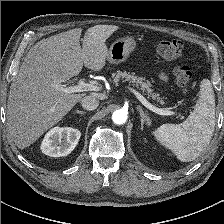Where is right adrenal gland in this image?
Listing matches in <instances>:
<instances>
[{"instance_id": "2a0ac1e0", "label": "right adrenal gland", "mask_w": 224, "mask_h": 224, "mask_svg": "<svg viewBox=\"0 0 224 224\" xmlns=\"http://www.w3.org/2000/svg\"><path fill=\"white\" fill-rule=\"evenodd\" d=\"M76 114H80V115H84V114H86V112H83V111H79V110H76V112H75Z\"/></svg>"}]
</instances>
